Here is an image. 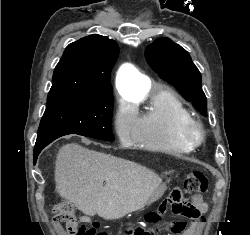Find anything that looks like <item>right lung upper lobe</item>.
I'll return each mask as SVG.
<instances>
[{"label": "right lung upper lobe", "mask_w": 250, "mask_h": 235, "mask_svg": "<svg viewBox=\"0 0 250 235\" xmlns=\"http://www.w3.org/2000/svg\"><path fill=\"white\" fill-rule=\"evenodd\" d=\"M118 52L114 40L98 34L69 44L54 70L48 98L66 93L112 92L110 72Z\"/></svg>", "instance_id": "cb5924a9"}]
</instances>
